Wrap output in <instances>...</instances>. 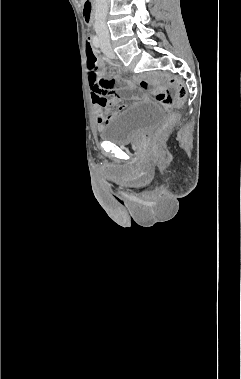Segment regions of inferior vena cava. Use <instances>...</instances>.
<instances>
[{
    "instance_id": "1",
    "label": "inferior vena cava",
    "mask_w": 241,
    "mask_h": 379,
    "mask_svg": "<svg viewBox=\"0 0 241 379\" xmlns=\"http://www.w3.org/2000/svg\"><path fill=\"white\" fill-rule=\"evenodd\" d=\"M108 8V0H95V31L100 38L107 41H109V31L106 25Z\"/></svg>"
}]
</instances>
